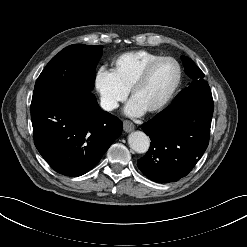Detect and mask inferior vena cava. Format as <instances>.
Returning a JSON list of instances; mask_svg holds the SVG:
<instances>
[{
  "label": "inferior vena cava",
  "mask_w": 247,
  "mask_h": 247,
  "mask_svg": "<svg viewBox=\"0 0 247 247\" xmlns=\"http://www.w3.org/2000/svg\"><path fill=\"white\" fill-rule=\"evenodd\" d=\"M101 107L106 111H112L117 107V103L109 100H101Z\"/></svg>",
  "instance_id": "602c4592"
}]
</instances>
